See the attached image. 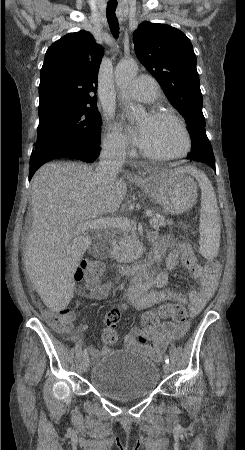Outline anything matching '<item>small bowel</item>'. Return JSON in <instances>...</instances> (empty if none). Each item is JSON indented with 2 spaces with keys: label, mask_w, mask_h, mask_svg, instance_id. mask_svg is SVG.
Returning <instances> with one entry per match:
<instances>
[{
  "label": "small bowel",
  "mask_w": 245,
  "mask_h": 450,
  "mask_svg": "<svg viewBox=\"0 0 245 450\" xmlns=\"http://www.w3.org/2000/svg\"><path fill=\"white\" fill-rule=\"evenodd\" d=\"M150 242V256L156 260V263L165 260L164 269L155 268L149 272L136 274L127 290L129 303L137 310H147L160 303L182 304L188 308L190 317L198 316L218 286L219 272L211 273L201 267L190 244L176 241L171 235L158 236L151 233ZM179 263H182L188 272L199 281L201 288L198 291L183 294L166 288L169 272L175 269ZM111 286V282L100 284L97 287L87 285V290L79 293L83 297L103 299L107 296ZM188 328L189 323L187 322L178 324L171 320L160 321L150 336L153 342L152 349L138 342L137 335L141 333L139 328H135L126 335L123 343L130 349H142L147 353L154 351L161 354L172 341L181 338ZM77 335L78 332L72 333L69 339L75 342L78 339ZM88 349L92 356L106 354L110 351L109 347H103L100 352L91 347Z\"/></svg>",
  "instance_id": "obj_1"
}]
</instances>
